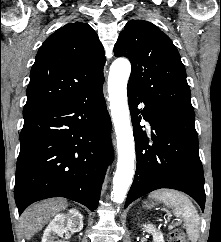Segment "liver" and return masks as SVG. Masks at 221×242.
Here are the masks:
<instances>
[{"mask_svg": "<svg viewBox=\"0 0 221 242\" xmlns=\"http://www.w3.org/2000/svg\"><path fill=\"white\" fill-rule=\"evenodd\" d=\"M65 199H49L29 207L21 217L24 236L30 240L50 219L67 208Z\"/></svg>", "mask_w": 221, "mask_h": 242, "instance_id": "1", "label": "liver"}]
</instances>
